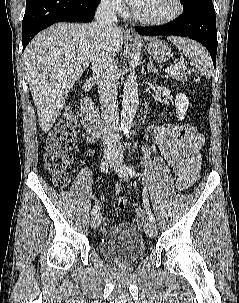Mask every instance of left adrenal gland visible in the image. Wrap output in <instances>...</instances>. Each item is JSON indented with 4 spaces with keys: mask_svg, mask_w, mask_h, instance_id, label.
<instances>
[{
    "mask_svg": "<svg viewBox=\"0 0 239 303\" xmlns=\"http://www.w3.org/2000/svg\"><path fill=\"white\" fill-rule=\"evenodd\" d=\"M147 71H148V73H156L157 75L159 74L158 69H156L153 65V61H150L147 64Z\"/></svg>",
    "mask_w": 239,
    "mask_h": 303,
    "instance_id": "obj_1",
    "label": "left adrenal gland"
}]
</instances>
